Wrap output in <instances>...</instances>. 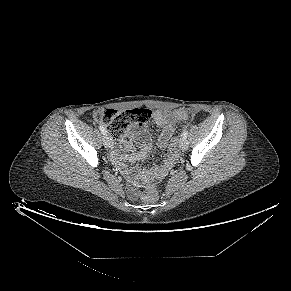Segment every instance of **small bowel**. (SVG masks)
I'll use <instances>...</instances> for the list:
<instances>
[{
	"mask_svg": "<svg viewBox=\"0 0 291 291\" xmlns=\"http://www.w3.org/2000/svg\"><path fill=\"white\" fill-rule=\"evenodd\" d=\"M153 120L157 127L160 129V134L157 138L156 143L159 147L166 148L169 145L171 138L174 134V118L170 113L165 110H156L153 114ZM132 137L138 143L140 150L136 153H131L128 155H120L118 153H115V160L136 161L144 159L146 157L151 148V142L148 135L143 131L135 129L132 133ZM170 164V159H167L160 167H150L143 172L137 173L133 178V183L135 185H138L150 181L154 177L163 176L169 168Z\"/></svg>",
	"mask_w": 291,
	"mask_h": 291,
	"instance_id": "obj_1",
	"label": "small bowel"
}]
</instances>
